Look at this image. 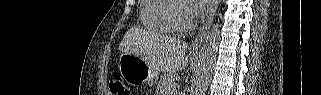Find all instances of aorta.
<instances>
[{"mask_svg":"<svg viewBox=\"0 0 321 95\" xmlns=\"http://www.w3.org/2000/svg\"><path fill=\"white\" fill-rule=\"evenodd\" d=\"M220 38L219 25L215 24L208 32L199 53L195 70L191 95H204L210 82L212 68L218 50Z\"/></svg>","mask_w":321,"mask_h":95,"instance_id":"762f6f07","label":"aorta"}]
</instances>
